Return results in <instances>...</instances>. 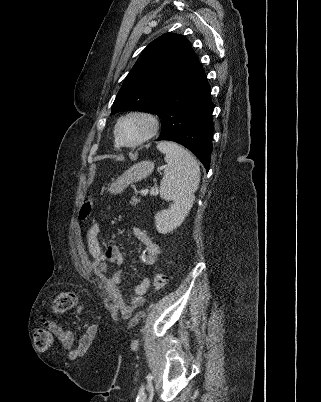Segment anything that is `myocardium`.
Here are the masks:
<instances>
[{
    "instance_id": "myocardium-1",
    "label": "myocardium",
    "mask_w": 321,
    "mask_h": 402,
    "mask_svg": "<svg viewBox=\"0 0 321 402\" xmlns=\"http://www.w3.org/2000/svg\"><path fill=\"white\" fill-rule=\"evenodd\" d=\"M132 118H140L144 120L147 123V130L145 134L135 142L124 143L121 141L119 137V128L124 121H127ZM159 128H160V121L155 114L144 110H132L125 113L117 120L114 126L115 142L119 147L122 148H137L139 146H142L149 140H151L158 133Z\"/></svg>"
}]
</instances>
